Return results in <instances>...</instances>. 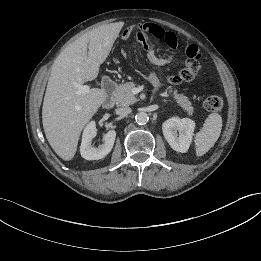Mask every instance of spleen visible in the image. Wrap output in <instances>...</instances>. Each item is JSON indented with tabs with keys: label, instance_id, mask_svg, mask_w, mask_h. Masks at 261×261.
<instances>
[{
	"label": "spleen",
	"instance_id": "obj_1",
	"mask_svg": "<svg viewBox=\"0 0 261 261\" xmlns=\"http://www.w3.org/2000/svg\"><path fill=\"white\" fill-rule=\"evenodd\" d=\"M222 129V118L218 113H211L203 128L195 136L196 155L206 154L218 140Z\"/></svg>",
	"mask_w": 261,
	"mask_h": 261
}]
</instances>
